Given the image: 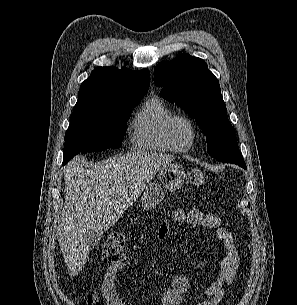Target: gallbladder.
Returning a JSON list of instances; mask_svg holds the SVG:
<instances>
[{"label": "gallbladder", "instance_id": "gallbladder-1", "mask_svg": "<svg viewBox=\"0 0 297 305\" xmlns=\"http://www.w3.org/2000/svg\"><path fill=\"white\" fill-rule=\"evenodd\" d=\"M101 234L95 230L87 229L83 233V240L89 249H95L100 241Z\"/></svg>", "mask_w": 297, "mask_h": 305}]
</instances>
